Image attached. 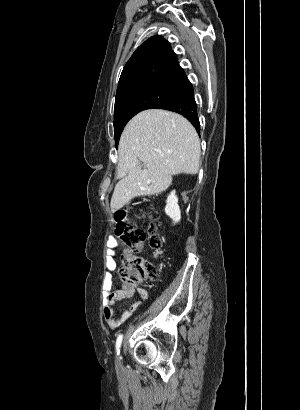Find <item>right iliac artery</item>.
<instances>
[{"mask_svg": "<svg viewBox=\"0 0 300 410\" xmlns=\"http://www.w3.org/2000/svg\"><path fill=\"white\" fill-rule=\"evenodd\" d=\"M122 339H123V335L120 334V335L117 337V340H116V351H117V355H119V353H120V347H121Z\"/></svg>", "mask_w": 300, "mask_h": 410, "instance_id": "82829eb1", "label": "right iliac artery"}]
</instances>
